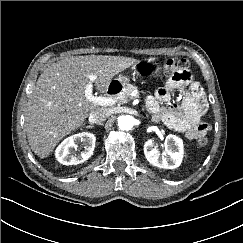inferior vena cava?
Returning <instances> with one entry per match:
<instances>
[{
    "label": "inferior vena cava",
    "instance_id": "1",
    "mask_svg": "<svg viewBox=\"0 0 243 243\" xmlns=\"http://www.w3.org/2000/svg\"><path fill=\"white\" fill-rule=\"evenodd\" d=\"M109 116L108 110L103 107H99L89 114L90 120L95 123H100L105 121Z\"/></svg>",
    "mask_w": 243,
    "mask_h": 243
}]
</instances>
